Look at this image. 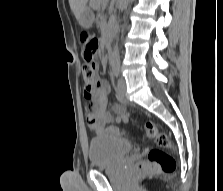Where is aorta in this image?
<instances>
[{"instance_id":"obj_1","label":"aorta","mask_w":223,"mask_h":191,"mask_svg":"<svg viewBox=\"0 0 223 191\" xmlns=\"http://www.w3.org/2000/svg\"><path fill=\"white\" fill-rule=\"evenodd\" d=\"M130 0H120V6L119 9L121 11L125 10L127 8V5L129 3ZM111 63L113 65H118L120 63V53H119V48H118V44H116L114 46L113 52H112V56H111Z\"/></svg>"}]
</instances>
